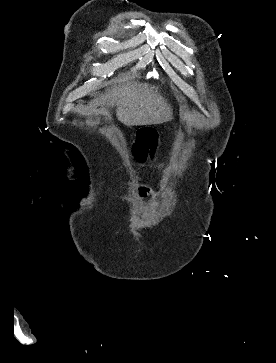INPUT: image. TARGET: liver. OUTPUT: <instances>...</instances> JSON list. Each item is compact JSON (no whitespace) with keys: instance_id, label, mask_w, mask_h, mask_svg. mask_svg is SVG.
Masks as SVG:
<instances>
[{"instance_id":"obj_1","label":"liver","mask_w":276,"mask_h":363,"mask_svg":"<svg viewBox=\"0 0 276 363\" xmlns=\"http://www.w3.org/2000/svg\"><path fill=\"white\" fill-rule=\"evenodd\" d=\"M116 104L118 120L126 126L161 124L172 119V112L155 86L127 83L109 89L100 99L91 101L90 108Z\"/></svg>"}]
</instances>
